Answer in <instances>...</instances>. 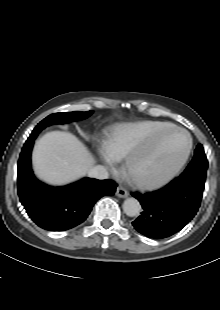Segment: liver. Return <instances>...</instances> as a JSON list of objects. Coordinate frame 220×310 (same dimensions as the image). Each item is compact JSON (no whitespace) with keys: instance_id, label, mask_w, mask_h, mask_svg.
Returning <instances> with one entry per match:
<instances>
[{"instance_id":"liver-1","label":"liver","mask_w":220,"mask_h":310,"mask_svg":"<svg viewBox=\"0 0 220 310\" xmlns=\"http://www.w3.org/2000/svg\"><path fill=\"white\" fill-rule=\"evenodd\" d=\"M33 167L36 175L53 185H63L85 176L95 160L85 145L73 134L52 131L35 145Z\"/></svg>"}]
</instances>
